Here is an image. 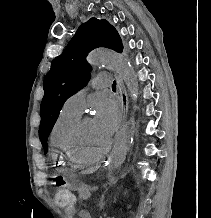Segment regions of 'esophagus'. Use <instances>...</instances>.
Segmentation results:
<instances>
[{
    "mask_svg": "<svg viewBox=\"0 0 211 218\" xmlns=\"http://www.w3.org/2000/svg\"><path fill=\"white\" fill-rule=\"evenodd\" d=\"M122 78L119 76L117 78V84H118V88H119V94H120V97H121V100L122 102L124 103H129V97H130V94L128 93V90L127 89H122L123 87V83H122ZM123 109H122V115L123 117H128V111L127 109H129V104H123ZM123 123L126 121L124 118L121 120ZM111 160H113V153L112 152H107L106 153V159H103L102 160V168H101V171L102 172H109L110 171V167H111Z\"/></svg>",
    "mask_w": 211,
    "mask_h": 218,
    "instance_id": "1",
    "label": "esophagus"
}]
</instances>
